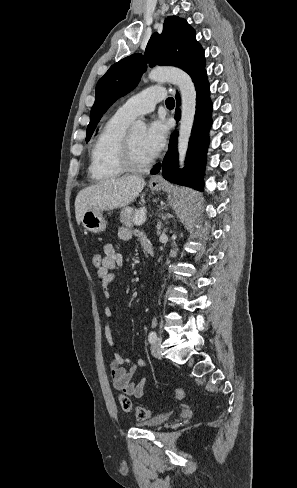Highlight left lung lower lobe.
Masks as SVG:
<instances>
[{
  "instance_id": "0a47b994",
  "label": "left lung lower lobe",
  "mask_w": 297,
  "mask_h": 488,
  "mask_svg": "<svg viewBox=\"0 0 297 488\" xmlns=\"http://www.w3.org/2000/svg\"><path fill=\"white\" fill-rule=\"evenodd\" d=\"M192 80L197 91V105L186 156V165L183 170L178 169L177 134H173L169 143V151L162 164V174L166 180L172 183L189 186L202 191L206 153L209 144L208 133L211 126L212 103L209 96L210 89L206 72L200 73ZM176 99L177 105L179 106L180 99L178 94L176 95ZM180 116L181 111L177 107L175 119L179 120ZM160 169L161 165H156L151 171V174H157Z\"/></svg>"
}]
</instances>
